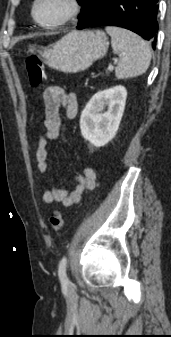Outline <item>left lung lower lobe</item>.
Returning a JSON list of instances; mask_svg holds the SVG:
<instances>
[{
	"mask_svg": "<svg viewBox=\"0 0 171 337\" xmlns=\"http://www.w3.org/2000/svg\"><path fill=\"white\" fill-rule=\"evenodd\" d=\"M158 0H89L77 28L119 26L129 29L156 46Z\"/></svg>",
	"mask_w": 171,
	"mask_h": 337,
	"instance_id": "left-lung-lower-lobe-1",
	"label": "left lung lower lobe"
}]
</instances>
